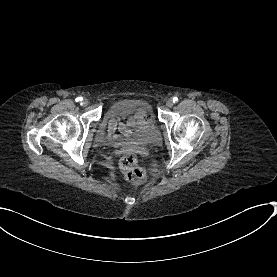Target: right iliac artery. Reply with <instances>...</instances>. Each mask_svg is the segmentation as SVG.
<instances>
[{
	"label": "right iliac artery",
	"instance_id": "right-iliac-artery-1",
	"mask_svg": "<svg viewBox=\"0 0 277 277\" xmlns=\"http://www.w3.org/2000/svg\"><path fill=\"white\" fill-rule=\"evenodd\" d=\"M82 100H83V98H82V97H78V98H76V101H77V102L82 101Z\"/></svg>",
	"mask_w": 277,
	"mask_h": 277
}]
</instances>
